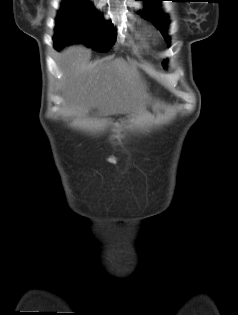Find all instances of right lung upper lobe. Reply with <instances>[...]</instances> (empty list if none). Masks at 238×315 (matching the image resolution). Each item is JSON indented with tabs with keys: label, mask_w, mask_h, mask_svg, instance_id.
Listing matches in <instances>:
<instances>
[{
	"label": "right lung upper lobe",
	"mask_w": 238,
	"mask_h": 315,
	"mask_svg": "<svg viewBox=\"0 0 238 315\" xmlns=\"http://www.w3.org/2000/svg\"><path fill=\"white\" fill-rule=\"evenodd\" d=\"M74 1L88 2V1H86V0H74ZM88 3H89V2H88Z\"/></svg>",
	"instance_id": "cb5924a9"
}]
</instances>
